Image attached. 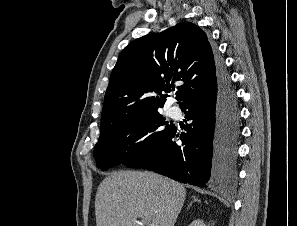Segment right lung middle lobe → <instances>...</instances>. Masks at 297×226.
Wrapping results in <instances>:
<instances>
[{"label": "right lung middle lobe", "instance_id": "dd1d6c3e", "mask_svg": "<svg viewBox=\"0 0 297 226\" xmlns=\"http://www.w3.org/2000/svg\"><path fill=\"white\" fill-rule=\"evenodd\" d=\"M173 128L159 111L145 112L102 127L94 149L97 167L107 170L129 164L152 151Z\"/></svg>", "mask_w": 297, "mask_h": 226}]
</instances>
